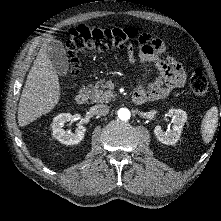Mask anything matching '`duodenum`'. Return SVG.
I'll use <instances>...</instances> for the list:
<instances>
[{"label":"duodenum","instance_id":"obj_1","mask_svg":"<svg viewBox=\"0 0 221 221\" xmlns=\"http://www.w3.org/2000/svg\"><path fill=\"white\" fill-rule=\"evenodd\" d=\"M76 103L79 105H83L87 102L88 100V93L85 90H81L75 97ZM132 100L136 104H142L146 101H148L147 97L141 93L135 91L132 95Z\"/></svg>","mask_w":221,"mask_h":221}]
</instances>
